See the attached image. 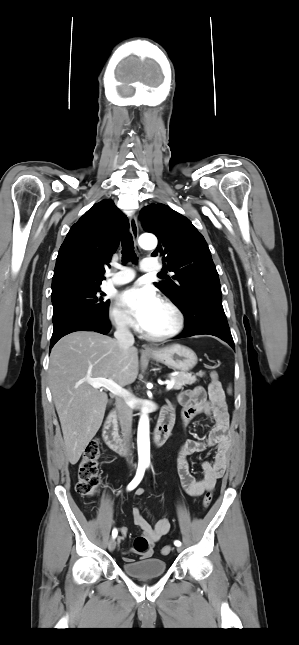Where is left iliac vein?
<instances>
[{
  "label": "left iliac vein",
  "instance_id": "left-iliac-vein-1",
  "mask_svg": "<svg viewBox=\"0 0 299 645\" xmlns=\"http://www.w3.org/2000/svg\"><path fill=\"white\" fill-rule=\"evenodd\" d=\"M177 551H178V552H181V551H182V547H181V546H177Z\"/></svg>",
  "mask_w": 299,
  "mask_h": 645
}]
</instances>
